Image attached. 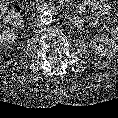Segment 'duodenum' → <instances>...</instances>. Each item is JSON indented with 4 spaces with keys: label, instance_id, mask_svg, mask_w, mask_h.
Segmentation results:
<instances>
[{
    "label": "duodenum",
    "instance_id": "410a0bca",
    "mask_svg": "<svg viewBox=\"0 0 118 118\" xmlns=\"http://www.w3.org/2000/svg\"><path fill=\"white\" fill-rule=\"evenodd\" d=\"M36 8L39 12H59L60 8L54 3L50 2H39L36 5ZM68 20L75 27L82 26V19L77 15H68Z\"/></svg>",
    "mask_w": 118,
    "mask_h": 118
}]
</instances>
